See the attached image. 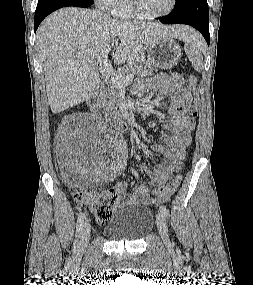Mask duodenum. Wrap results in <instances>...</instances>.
Segmentation results:
<instances>
[{
    "instance_id": "duodenum-1",
    "label": "duodenum",
    "mask_w": 253,
    "mask_h": 285,
    "mask_svg": "<svg viewBox=\"0 0 253 285\" xmlns=\"http://www.w3.org/2000/svg\"><path fill=\"white\" fill-rule=\"evenodd\" d=\"M102 86L99 85L88 99V106L90 110L97 116L105 114V116L117 127L126 129L128 127L127 117L115 111H106L101 98Z\"/></svg>"
}]
</instances>
